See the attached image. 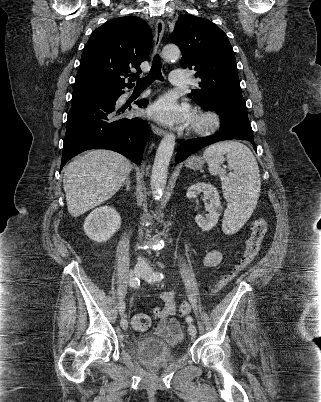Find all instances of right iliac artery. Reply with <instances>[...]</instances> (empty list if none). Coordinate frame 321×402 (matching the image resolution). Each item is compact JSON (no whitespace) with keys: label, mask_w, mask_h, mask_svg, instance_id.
<instances>
[{"label":"right iliac artery","mask_w":321,"mask_h":402,"mask_svg":"<svg viewBox=\"0 0 321 402\" xmlns=\"http://www.w3.org/2000/svg\"><path fill=\"white\" fill-rule=\"evenodd\" d=\"M129 284H130L131 287L137 288L140 285V280L138 278H130ZM124 311H125V303L120 302V304H119V312H120V314L123 315Z\"/></svg>","instance_id":"1"}]
</instances>
